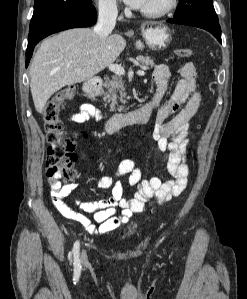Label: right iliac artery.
I'll return each mask as SVG.
<instances>
[{"label": "right iliac artery", "mask_w": 247, "mask_h": 299, "mask_svg": "<svg viewBox=\"0 0 247 299\" xmlns=\"http://www.w3.org/2000/svg\"><path fill=\"white\" fill-rule=\"evenodd\" d=\"M79 250H80V244L79 241H76L74 243L73 249H72V254L74 258V267H75V272L80 273L81 269V264H80V259H79Z\"/></svg>", "instance_id": "82829eb1"}]
</instances>
